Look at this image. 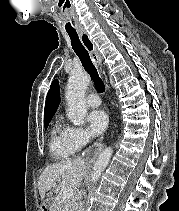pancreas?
<instances>
[{"label": "pancreas", "instance_id": "cf45deb5", "mask_svg": "<svg viewBox=\"0 0 179 211\" xmlns=\"http://www.w3.org/2000/svg\"><path fill=\"white\" fill-rule=\"evenodd\" d=\"M53 204H56L58 211H78V202L74 197L63 199L61 194H58Z\"/></svg>", "mask_w": 179, "mask_h": 211}]
</instances>
